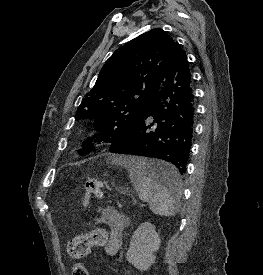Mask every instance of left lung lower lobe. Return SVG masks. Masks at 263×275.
Wrapping results in <instances>:
<instances>
[{
  "label": "left lung lower lobe",
  "mask_w": 263,
  "mask_h": 275,
  "mask_svg": "<svg viewBox=\"0 0 263 275\" xmlns=\"http://www.w3.org/2000/svg\"><path fill=\"white\" fill-rule=\"evenodd\" d=\"M195 111L188 61L179 49L138 125L129 135L113 142L109 151L169 162L170 167H152L148 174L172 189L187 170ZM149 117H153L152 123Z\"/></svg>",
  "instance_id": "obj_1"
}]
</instances>
